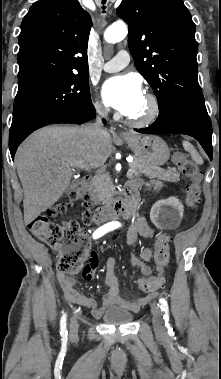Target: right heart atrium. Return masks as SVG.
<instances>
[{
    "instance_id": "right-heart-atrium-1",
    "label": "right heart atrium",
    "mask_w": 221,
    "mask_h": 379,
    "mask_svg": "<svg viewBox=\"0 0 221 379\" xmlns=\"http://www.w3.org/2000/svg\"><path fill=\"white\" fill-rule=\"evenodd\" d=\"M93 108L95 112L99 115L105 116L108 113V108L105 104L98 98H95L93 101Z\"/></svg>"
}]
</instances>
